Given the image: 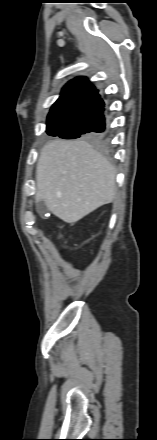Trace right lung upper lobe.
I'll list each match as a JSON object with an SVG mask.
<instances>
[{
    "label": "right lung upper lobe",
    "instance_id": "cb5924a9",
    "mask_svg": "<svg viewBox=\"0 0 157 440\" xmlns=\"http://www.w3.org/2000/svg\"><path fill=\"white\" fill-rule=\"evenodd\" d=\"M104 102L98 90L85 77H77L65 85L53 104L47 121L77 120L84 127H92L103 114Z\"/></svg>",
    "mask_w": 157,
    "mask_h": 440
}]
</instances>
